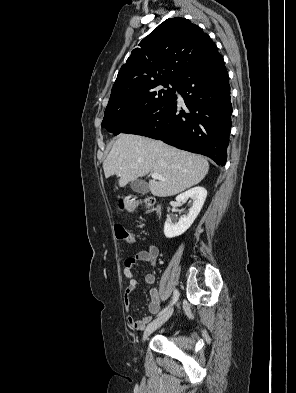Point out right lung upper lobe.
Returning <instances> with one entry per match:
<instances>
[{
  "mask_svg": "<svg viewBox=\"0 0 296 393\" xmlns=\"http://www.w3.org/2000/svg\"><path fill=\"white\" fill-rule=\"evenodd\" d=\"M215 46L188 19L165 20L132 50L113 85L109 102L127 100L161 82H175Z\"/></svg>",
  "mask_w": 296,
  "mask_h": 393,
  "instance_id": "1",
  "label": "right lung upper lobe"
}]
</instances>
